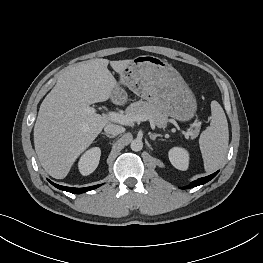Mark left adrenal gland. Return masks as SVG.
I'll use <instances>...</instances> for the list:
<instances>
[{
    "instance_id": "left-adrenal-gland-1",
    "label": "left adrenal gland",
    "mask_w": 263,
    "mask_h": 263,
    "mask_svg": "<svg viewBox=\"0 0 263 263\" xmlns=\"http://www.w3.org/2000/svg\"><path fill=\"white\" fill-rule=\"evenodd\" d=\"M157 137H162V135L161 134H156V133L150 134V139H152L153 141H155Z\"/></svg>"
}]
</instances>
